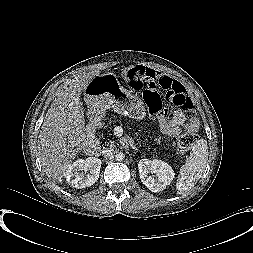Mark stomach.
<instances>
[{
    "label": "stomach",
    "instance_id": "1",
    "mask_svg": "<svg viewBox=\"0 0 253 253\" xmlns=\"http://www.w3.org/2000/svg\"><path fill=\"white\" fill-rule=\"evenodd\" d=\"M111 78L113 81L108 84ZM84 98L95 110L113 108L114 111L135 119L145 116L142 100L135 95L124 93L113 74L95 76L84 89Z\"/></svg>",
    "mask_w": 253,
    "mask_h": 253
}]
</instances>
